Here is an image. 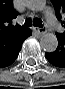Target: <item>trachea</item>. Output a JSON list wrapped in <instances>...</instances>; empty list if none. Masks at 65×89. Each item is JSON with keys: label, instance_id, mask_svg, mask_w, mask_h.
Returning a JSON list of instances; mask_svg holds the SVG:
<instances>
[{"label": "trachea", "instance_id": "3493384b", "mask_svg": "<svg viewBox=\"0 0 65 89\" xmlns=\"http://www.w3.org/2000/svg\"><path fill=\"white\" fill-rule=\"evenodd\" d=\"M32 25L36 26V27H42V21L39 18H35L33 20H31L30 18L26 19L25 23H24V27H31Z\"/></svg>", "mask_w": 65, "mask_h": 89}]
</instances>
